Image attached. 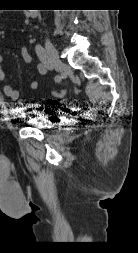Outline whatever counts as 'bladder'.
<instances>
[{
	"label": "bladder",
	"mask_w": 138,
	"mask_h": 253,
	"mask_svg": "<svg viewBox=\"0 0 138 253\" xmlns=\"http://www.w3.org/2000/svg\"><path fill=\"white\" fill-rule=\"evenodd\" d=\"M25 121L31 127L38 129H52L54 125L46 119L47 113L43 111L31 110L24 112Z\"/></svg>",
	"instance_id": "bladder-1"
}]
</instances>
